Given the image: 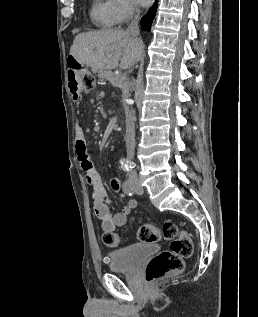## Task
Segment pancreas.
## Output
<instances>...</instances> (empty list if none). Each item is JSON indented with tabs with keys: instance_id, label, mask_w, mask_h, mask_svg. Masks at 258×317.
<instances>
[{
	"instance_id": "pancreas-1",
	"label": "pancreas",
	"mask_w": 258,
	"mask_h": 317,
	"mask_svg": "<svg viewBox=\"0 0 258 317\" xmlns=\"http://www.w3.org/2000/svg\"><path fill=\"white\" fill-rule=\"evenodd\" d=\"M109 81L111 84H115L118 90H124L126 88V85L124 84L122 80H120V78L111 77Z\"/></svg>"
}]
</instances>
